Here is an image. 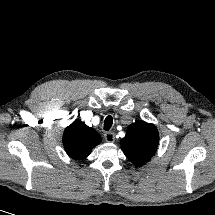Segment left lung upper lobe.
Segmentation results:
<instances>
[{
    "label": "left lung upper lobe",
    "mask_w": 215,
    "mask_h": 215,
    "mask_svg": "<svg viewBox=\"0 0 215 215\" xmlns=\"http://www.w3.org/2000/svg\"><path fill=\"white\" fill-rule=\"evenodd\" d=\"M158 142V130L153 124L136 121L127 128L121 148L134 165L142 166L155 154Z\"/></svg>",
    "instance_id": "1"
}]
</instances>
